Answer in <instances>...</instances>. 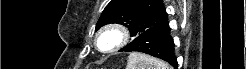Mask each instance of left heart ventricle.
<instances>
[{
    "instance_id": "obj_1",
    "label": "left heart ventricle",
    "mask_w": 246,
    "mask_h": 69,
    "mask_svg": "<svg viewBox=\"0 0 246 69\" xmlns=\"http://www.w3.org/2000/svg\"><path fill=\"white\" fill-rule=\"evenodd\" d=\"M115 40V37L111 34H107V35H104L102 38H101V43L104 44V43H109V42H112Z\"/></svg>"
}]
</instances>
